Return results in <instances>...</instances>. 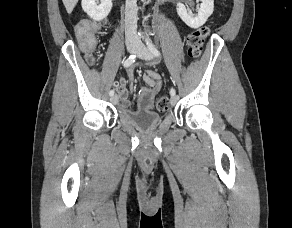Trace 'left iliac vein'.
Returning a JSON list of instances; mask_svg holds the SVG:
<instances>
[{
    "label": "left iliac vein",
    "instance_id": "4c4485c4",
    "mask_svg": "<svg viewBox=\"0 0 292 228\" xmlns=\"http://www.w3.org/2000/svg\"><path fill=\"white\" fill-rule=\"evenodd\" d=\"M136 54L139 58L144 60H151L153 58L149 49L140 40L137 42ZM170 102L172 105H175L178 102V96H171Z\"/></svg>",
    "mask_w": 292,
    "mask_h": 228
}]
</instances>
